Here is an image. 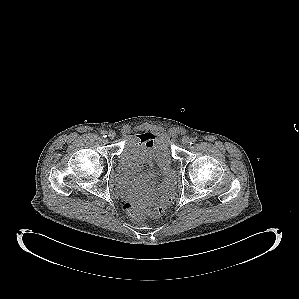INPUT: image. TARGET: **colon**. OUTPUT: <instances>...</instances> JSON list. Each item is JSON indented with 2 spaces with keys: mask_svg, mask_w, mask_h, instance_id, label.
<instances>
[{
  "mask_svg": "<svg viewBox=\"0 0 299 299\" xmlns=\"http://www.w3.org/2000/svg\"><path fill=\"white\" fill-rule=\"evenodd\" d=\"M173 200H174V196L169 195L167 198L164 199V201L161 204L147 211L139 210L133 204L126 203L124 204V210L133 219H138L145 215L152 216V217H160L164 214L167 205L171 203Z\"/></svg>",
  "mask_w": 299,
  "mask_h": 299,
  "instance_id": "1",
  "label": "colon"
}]
</instances>
